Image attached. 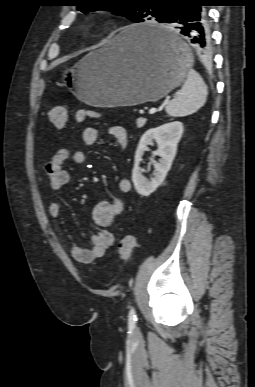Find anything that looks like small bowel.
<instances>
[{
	"label": "small bowel",
	"mask_w": 255,
	"mask_h": 387,
	"mask_svg": "<svg viewBox=\"0 0 255 387\" xmlns=\"http://www.w3.org/2000/svg\"><path fill=\"white\" fill-rule=\"evenodd\" d=\"M108 133L116 140L118 145L124 149L128 144V134L124 127L119 125L110 126ZM82 140L92 146L99 141V131L95 127H85L82 131ZM71 160L75 164H84L87 161V152L78 148H60L51 159L45 164L49 186L53 191H60L70 183V174L64 169L66 161ZM118 191L122 194L131 191V181L128 178H121L117 184ZM124 211V202L119 197L109 201L97 203L92 211V220L97 232L91 236V246L83 248L77 245L70 247L72 257L80 263H91L101 258L105 251L114 244V234L110 228L117 223V217ZM52 219H58L61 215V205L52 202L48 208Z\"/></svg>",
	"instance_id": "small-bowel-1"
}]
</instances>
